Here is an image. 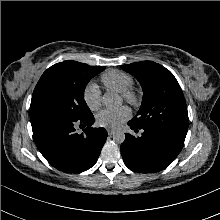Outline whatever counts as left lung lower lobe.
I'll return each mask as SVG.
<instances>
[{
    "mask_svg": "<svg viewBox=\"0 0 220 220\" xmlns=\"http://www.w3.org/2000/svg\"><path fill=\"white\" fill-rule=\"evenodd\" d=\"M132 130L142 129L141 137L125 134L121 154L126 166L135 172L154 173L168 167L184 146L185 138L158 128H138L130 121Z\"/></svg>",
    "mask_w": 220,
    "mask_h": 220,
    "instance_id": "left-lung-lower-lobe-1",
    "label": "left lung lower lobe"
}]
</instances>
